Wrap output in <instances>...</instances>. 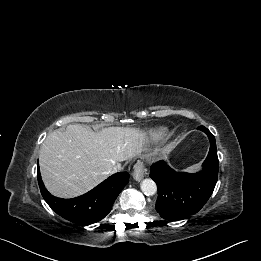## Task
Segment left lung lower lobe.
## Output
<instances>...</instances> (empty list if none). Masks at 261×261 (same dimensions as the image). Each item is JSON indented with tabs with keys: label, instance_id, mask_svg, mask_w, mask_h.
<instances>
[{
	"label": "left lung lower lobe",
	"instance_id": "1",
	"mask_svg": "<svg viewBox=\"0 0 261 261\" xmlns=\"http://www.w3.org/2000/svg\"><path fill=\"white\" fill-rule=\"evenodd\" d=\"M210 140V150L198 173L176 172L164 161L155 163L150 177L158 187L156 210L166 220H178L197 213L211 196L218 178L219 161L215 137L204 126L198 127Z\"/></svg>",
	"mask_w": 261,
	"mask_h": 261
}]
</instances>
